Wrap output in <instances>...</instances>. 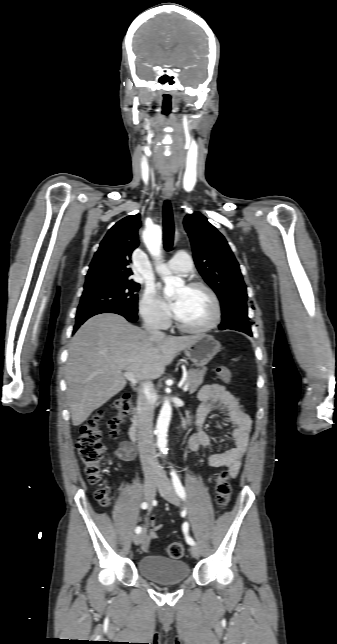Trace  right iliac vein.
I'll return each mask as SVG.
<instances>
[{"instance_id":"right-iliac-vein-1","label":"right iliac vein","mask_w":337,"mask_h":644,"mask_svg":"<svg viewBox=\"0 0 337 644\" xmlns=\"http://www.w3.org/2000/svg\"><path fill=\"white\" fill-rule=\"evenodd\" d=\"M157 484H158V478L156 476H148L145 480L144 496L149 503L152 502L155 497ZM144 537H145V531L135 535L133 537L134 544L135 545L141 544Z\"/></svg>"}]
</instances>
